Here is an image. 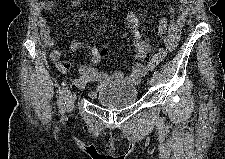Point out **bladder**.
I'll use <instances>...</instances> for the list:
<instances>
[{
	"label": "bladder",
	"instance_id": "obj_1",
	"mask_svg": "<svg viewBox=\"0 0 225 159\" xmlns=\"http://www.w3.org/2000/svg\"><path fill=\"white\" fill-rule=\"evenodd\" d=\"M138 98V90L132 84L110 83L95 95V101L103 106L123 108L134 104Z\"/></svg>",
	"mask_w": 225,
	"mask_h": 159
}]
</instances>
